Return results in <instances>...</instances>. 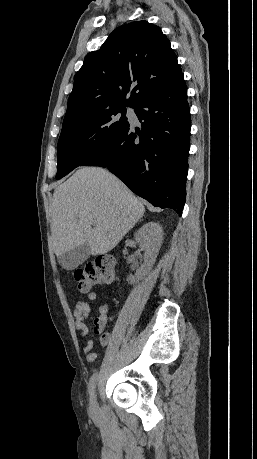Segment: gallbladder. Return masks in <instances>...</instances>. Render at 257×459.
I'll return each instance as SVG.
<instances>
[{
    "label": "gallbladder",
    "instance_id": "1",
    "mask_svg": "<svg viewBox=\"0 0 257 459\" xmlns=\"http://www.w3.org/2000/svg\"><path fill=\"white\" fill-rule=\"evenodd\" d=\"M90 256V247L84 243L58 256L59 264L66 270H73L85 262Z\"/></svg>",
    "mask_w": 257,
    "mask_h": 459
}]
</instances>
